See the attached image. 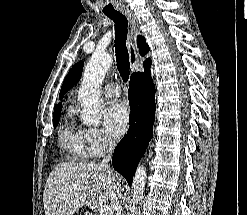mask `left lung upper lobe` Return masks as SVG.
Wrapping results in <instances>:
<instances>
[{"mask_svg": "<svg viewBox=\"0 0 247 215\" xmlns=\"http://www.w3.org/2000/svg\"><path fill=\"white\" fill-rule=\"evenodd\" d=\"M84 63L82 61L76 63L68 75L66 76L63 85L60 90L59 98L62 99L64 97V94L71 89L75 84L78 83L83 70Z\"/></svg>", "mask_w": 247, "mask_h": 215, "instance_id": "1", "label": "left lung upper lobe"}]
</instances>
